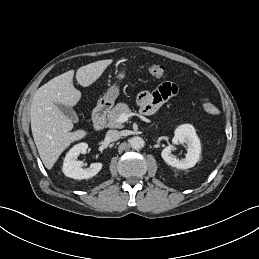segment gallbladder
<instances>
[{"label": "gallbladder", "instance_id": "1", "mask_svg": "<svg viewBox=\"0 0 259 259\" xmlns=\"http://www.w3.org/2000/svg\"><path fill=\"white\" fill-rule=\"evenodd\" d=\"M57 107L70 120H72L73 122H78V120H79L78 116L72 107L60 105V104H58Z\"/></svg>", "mask_w": 259, "mask_h": 259}]
</instances>
